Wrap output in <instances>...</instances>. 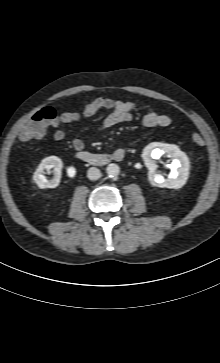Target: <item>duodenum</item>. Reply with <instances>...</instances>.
I'll list each match as a JSON object with an SVG mask.
<instances>
[{"label": "duodenum", "instance_id": "duodenum-1", "mask_svg": "<svg viewBox=\"0 0 220 363\" xmlns=\"http://www.w3.org/2000/svg\"><path fill=\"white\" fill-rule=\"evenodd\" d=\"M77 156L81 161L85 163L101 167L109 164L110 162L122 161L125 157V151L123 149H118L112 154L81 151L78 152Z\"/></svg>", "mask_w": 220, "mask_h": 363}]
</instances>
